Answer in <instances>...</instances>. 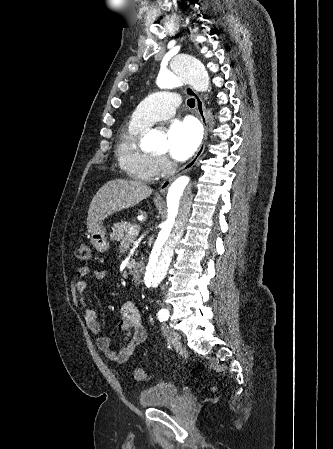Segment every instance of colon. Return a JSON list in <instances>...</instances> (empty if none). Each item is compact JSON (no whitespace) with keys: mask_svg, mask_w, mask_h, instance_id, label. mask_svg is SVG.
I'll return each mask as SVG.
<instances>
[{"mask_svg":"<svg viewBox=\"0 0 333 449\" xmlns=\"http://www.w3.org/2000/svg\"><path fill=\"white\" fill-rule=\"evenodd\" d=\"M76 256L82 261H88L91 257V248L87 243H81L76 249ZM136 380L142 381L146 378L145 371L142 368H136L133 371Z\"/></svg>","mask_w":333,"mask_h":449,"instance_id":"colon-1","label":"colon"}]
</instances>
